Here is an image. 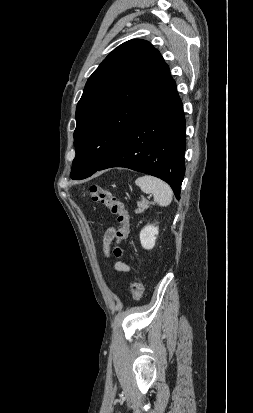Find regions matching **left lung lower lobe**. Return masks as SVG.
<instances>
[{
  "mask_svg": "<svg viewBox=\"0 0 253 413\" xmlns=\"http://www.w3.org/2000/svg\"><path fill=\"white\" fill-rule=\"evenodd\" d=\"M185 132L183 106L172 79L158 100L98 170L125 167L156 176L166 181L176 198L180 199L185 174Z\"/></svg>",
  "mask_w": 253,
  "mask_h": 413,
  "instance_id": "obj_1",
  "label": "left lung lower lobe"
}]
</instances>
